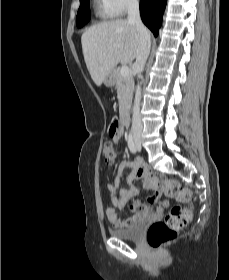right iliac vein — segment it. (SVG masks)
Wrapping results in <instances>:
<instances>
[{"label": "right iliac vein", "instance_id": "63e3f726", "mask_svg": "<svg viewBox=\"0 0 229 280\" xmlns=\"http://www.w3.org/2000/svg\"><path fill=\"white\" fill-rule=\"evenodd\" d=\"M136 143H137V144H140V140L137 139V140H136Z\"/></svg>", "mask_w": 229, "mask_h": 280}]
</instances>
